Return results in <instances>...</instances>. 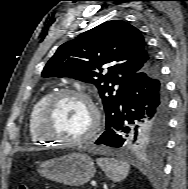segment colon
<instances>
[{
  "mask_svg": "<svg viewBox=\"0 0 188 189\" xmlns=\"http://www.w3.org/2000/svg\"><path fill=\"white\" fill-rule=\"evenodd\" d=\"M18 189H29V186L27 184H22Z\"/></svg>",
  "mask_w": 188,
  "mask_h": 189,
  "instance_id": "obj_1",
  "label": "colon"
}]
</instances>
